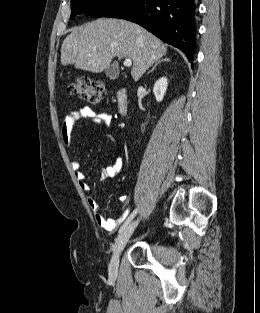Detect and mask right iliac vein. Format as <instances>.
<instances>
[{
    "label": "right iliac vein",
    "instance_id": "right-iliac-vein-1",
    "mask_svg": "<svg viewBox=\"0 0 260 313\" xmlns=\"http://www.w3.org/2000/svg\"><path fill=\"white\" fill-rule=\"evenodd\" d=\"M138 224V220L132 222L129 226H127L117 237L114 247H113V255L109 265V274L112 277H116L118 274L119 267V255L126 246L129 238L131 237L133 231L135 230Z\"/></svg>",
    "mask_w": 260,
    "mask_h": 313
}]
</instances>
